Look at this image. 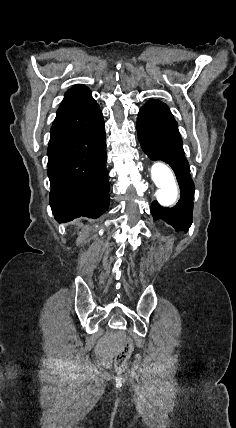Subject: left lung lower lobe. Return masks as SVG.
<instances>
[{"label":"left lung lower lobe","instance_id":"left-lung-lower-lobe-1","mask_svg":"<svg viewBox=\"0 0 236 428\" xmlns=\"http://www.w3.org/2000/svg\"><path fill=\"white\" fill-rule=\"evenodd\" d=\"M136 127L144 153L151 160L169 164L180 188L181 197L176 206L166 208L157 201L152 203L154 220L163 219L176 231H187L192 224L194 183L189 174L177 122L166 104L150 100L140 109Z\"/></svg>","mask_w":236,"mask_h":428}]
</instances>
